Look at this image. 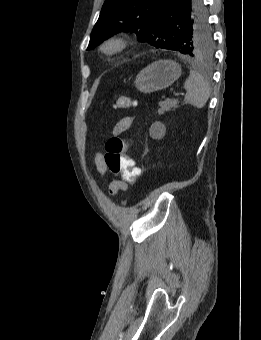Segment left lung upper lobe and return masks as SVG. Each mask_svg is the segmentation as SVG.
I'll return each instance as SVG.
<instances>
[{"label":"left lung upper lobe","instance_id":"1","mask_svg":"<svg viewBox=\"0 0 261 340\" xmlns=\"http://www.w3.org/2000/svg\"><path fill=\"white\" fill-rule=\"evenodd\" d=\"M165 0H106L95 24L90 50L117 32H134L138 40L156 48L178 51L192 57L213 53L212 32L205 6L197 5L191 17L179 16L175 22L164 21L160 8Z\"/></svg>","mask_w":261,"mask_h":340}]
</instances>
